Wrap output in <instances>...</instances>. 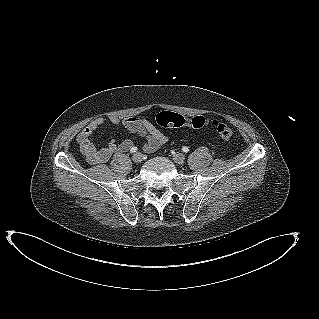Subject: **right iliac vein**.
Masks as SVG:
<instances>
[{
  "label": "right iliac vein",
  "instance_id": "1",
  "mask_svg": "<svg viewBox=\"0 0 319 319\" xmlns=\"http://www.w3.org/2000/svg\"><path fill=\"white\" fill-rule=\"evenodd\" d=\"M132 160L133 162L135 163H141L142 160H143V155L141 153H135L133 156H132Z\"/></svg>",
  "mask_w": 319,
  "mask_h": 319
}]
</instances>
